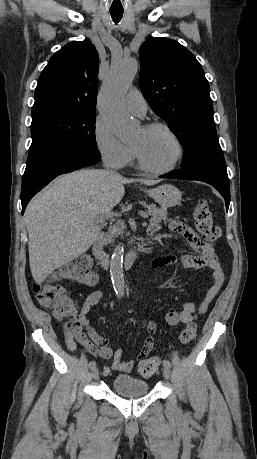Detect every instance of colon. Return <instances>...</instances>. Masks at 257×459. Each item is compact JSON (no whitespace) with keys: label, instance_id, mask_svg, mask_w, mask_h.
Here are the masks:
<instances>
[{"label":"colon","instance_id":"colon-1","mask_svg":"<svg viewBox=\"0 0 257 459\" xmlns=\"http://www.w3.org/2000/svg\"><path fill=\"white\" fill-rule=\"evenodd\" d=\"M195 226L203 239L214 243L220 235L218 227L213 224L210 204L207 199H199L193 213ZM58 279H68L85 284L96 282V275L92 270L91 259L87 256H80L73 262L63 265L49 279L35 283L33 286L38 303L46 308H51L59 318H72L77 316L78 307L69 297L66 289L56 283ZM197 337L195 324H188L180 334L182 343L187 344ZM160 359L151 356L139 363L138 371L143 377H151L159 368Z\"/></svg>","mask_w":257,"mask_h":459}]
</instances>
